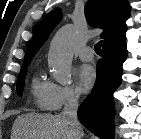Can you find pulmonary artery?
<instances>
[{
  "label": "pulmonary artery",
  "mask_w": 141,
  "mask_h": 139,
  "mask_svg": "<svg viewBox=\"0 0 141 139\" xmlns=\"http://www.w3.org/2000/svg\"><path fill=\"white\" fill-rule=\"evenodd\" d=\"M79 58L82 61L89 62L94 59V54L93 50L90 47H84L80 52H79Z\"/></svg>",
  "instance_id": "e3ab8cb5"
}]
</instances>
